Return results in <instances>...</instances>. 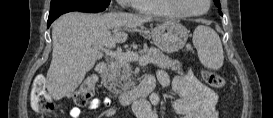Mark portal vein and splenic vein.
<instances>
[{"label": "portal vein and splenic vein", "instance_id": "obj_1", "mask_svg": "<svg viewBox=\"0 0 273 118\" xmlns=\"http://www.w3.org/2000/svg\"><path fill=\"white\" fill-rule=\"evenodd\" d=\"M98 50H104L107 51L112 57L118 58L120 60H127V61H139L141 65H145L148 62H150V58L148 55H142L139 56L135 52H119V51H113L112 47H106V49L103 46H97Z\"/></svg>", "mask_w": 273, "mask_h": 118}]
</instances>
